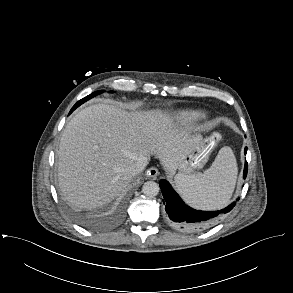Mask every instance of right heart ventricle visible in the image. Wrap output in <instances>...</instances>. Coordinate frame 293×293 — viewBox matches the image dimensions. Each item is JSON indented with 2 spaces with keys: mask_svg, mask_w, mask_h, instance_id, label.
<instances>
[{
  "mask_svg": "<svg viewBox=\"0 0 293 293\" xmlns=\"http://www.w3.org/2000/svg\"><path fill=\"white\" fill-rule=\"evenodd\" d=\"M206 118V113L197 109L180 110L174 114V119L179 123L193 124Z\"/></svg>",
  "mask_w": 293,
  "mask_h": 293,
  "instance_id": "right-heart-ventricle-1",
  "label": "right heart ventricle"
}]
</instances>
